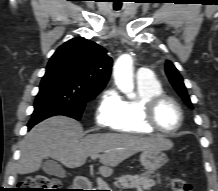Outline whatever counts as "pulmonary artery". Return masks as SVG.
Here are the masks:
<instances>
[{
	"label": "pulmonary artery",
	"mask_w": 218,
	"mask_h": 191,
	"mask_svg": "<svg viewBox=\"0 0 218 191\" xmlns=\"http://www.w3.org/2000/svg\"><path fill=\"white\" fill-rule=\"evenodd\" d=\"M154 79V73L149 68H141L137 73V80L140 82H150Z\"/></svg>",
	"instance_id": "e3ab8cb5"
}]
</instances>
